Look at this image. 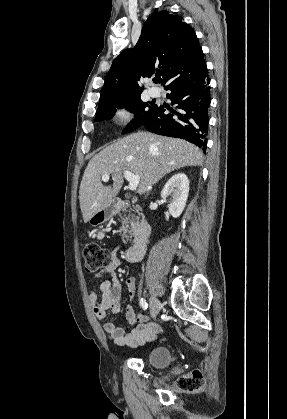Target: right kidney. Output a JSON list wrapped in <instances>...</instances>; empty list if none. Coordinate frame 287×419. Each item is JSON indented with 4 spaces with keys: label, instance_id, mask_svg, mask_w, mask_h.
Segmentation results:
<instances>
[{
    "label": "right kidney",
    "instance_id": "right-kidney-1",
    "mask_svg": "<svg viewBox=\"0 0 287 419\" xmlns=\"http://www.w3.org/2000/svg\"><path fill=\"white\" fill-rule=\"evenodd\" d=\"M189 193V180L184 173L173 175L165 184L161 197L163 199L171 196L169 213L174 217H179L185 206Z\"/></svg>",
    "mask_w": 287,
    "mask_h": 419
}]
</instances>
